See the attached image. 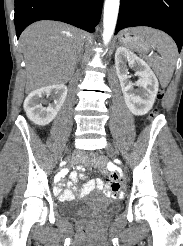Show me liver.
Returning <instances> with one entry per match:
<instances>
[{
  "label": "liver",
  "instance_id": "1",
  "mask_svg": "<svg viewBox=\"0 0 183 246\" xmlns=\"http://www.w3.org/2000/svg\"><path fill=\"white\" fill-rule=\"evenodd\" d=\"M85 37L81 29L55 21H39L26 28L20 37L26 62V93L67 83Z\"/></svg>",
  "mask_w": 183,
  "mask_h": 246
}]
</instances>
